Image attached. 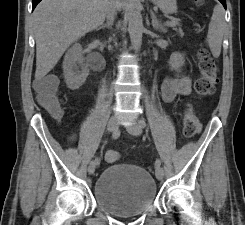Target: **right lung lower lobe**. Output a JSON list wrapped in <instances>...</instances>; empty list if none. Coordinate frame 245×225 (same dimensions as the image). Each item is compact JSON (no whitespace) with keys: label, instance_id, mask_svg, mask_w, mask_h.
Masks as SVG:
<instances>
[{"label":"right lung lower lobe","instance_id":"98d812e1","mask_svg":"<svg viewBox=\"0 0 245 225\" xmlns=\"http://www.w3.org/2000/svg\"><path fill=\"white\" fill-rule=\"evenodd\" d=\"M41 0H32V10L36 7V5L40 2Z\"/></svg>","mask_w":245,"mask_h":225}]
</instances>
